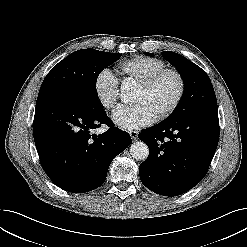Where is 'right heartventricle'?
Wrapping results in <instances>:
<instances>
[{"instance_id":"right-heart-ventricle-1","label":"right heart ventricle","mask_w":247,"mask_h":247,"mask_svg":"<svg viewBox=\"0 0 247 247\" xmlns=\"http://www.w3.org/2000/svg\"><path fill=\"white\" fill-rule=\"evenodd\" d=\"M165 67L166 64L158 58L138 56L119 63L116 72L122 77L123 81L134 80L140 82Z\"/></svg>"}]
</instances>
